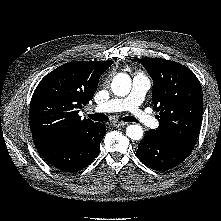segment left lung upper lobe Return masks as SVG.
Wrapping results in <instances>:
<instances>
[{"mask_svg":"<svg viewBox=\"0 0 221 221\" xmlns=\"http://www.w3.org/2000/svg\"><path fill=\"white\" fill-rule=\"evenodd\" d=\"M140 63L153 79V104L159 112L155 138L192 150L202 123L203 95L195 74L184 65L158 58Z\"/></svg>","mask_w":221,"mask_h":221,"instance_id":"left-lung-upper-lobe-1","label":"left lung upper lobe"}]
</instances>
